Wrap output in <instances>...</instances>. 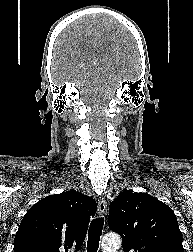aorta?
Here are the masks:
<instances>
[{
    "label": "aorta",
    "mask_w": 193,
    "mask_h": 252,
    "mask_svg": "<svg viewBox=\"0 0 193 252\" xmlns=\"http://www.w3.org/2000/svg\"><path fill=\"white\" fill-rule=\"evenodd\" d=\"M121 245V237L118 234H107L103 237L101 246L103 252H116Z\"/></svg>",
    "instance_id": "obj_1"
}]
</instances>
